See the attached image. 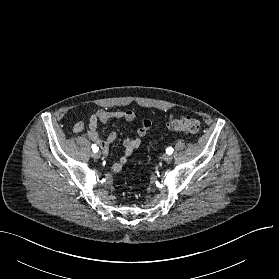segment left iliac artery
Masks as SVG:
<instances>
[{"mask_svg":"<svg viewBox=\"0 0 279 279\" xmlns=\"http://www.w3.org/2000/svg\"><path fill=\"white\" fill-rule=\"evenodd\" d=\"M167 154H172L173 153V148L169 147L166 149Z\"/></svg>","mask_w":279,"mask_h":279,"instance_id":"obj_1","label":"left iliac artery"}]
</instances>
